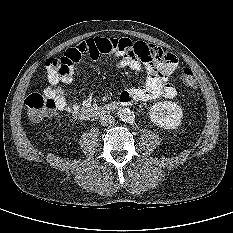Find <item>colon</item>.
Listing matches in <instances>:
<instances>
[{"label":"colon","mask_w":233,"mask_h":233,"mask_svg":"<svg viewBox=\"0 0 233 233\" xmlns=\"http://www.w3.org/2000/svg\"><path fill=\"white\" fill-rule=\"evenodd\" d=\"M127 46L128 43L124 39H89L74 48L67 49L59 58L52 59L51 64L60 74H65L70 72L73 65L82 58L96 60L104 54L126 51ZM180 80L192 90L198 86L195 75L190 68L186 67L182 70ZM25 105L28 115L33 121L45 119L57 108L56 99L49 92L29 94L25 99Z\"/></svg>","instance_id":"1"}]
</instances>
